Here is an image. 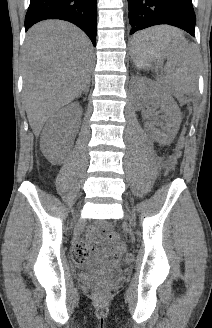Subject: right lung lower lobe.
Instances as JSON below:
<instances>
[{"label":"right lung lower lobe","mask_w":212,"mask_h":328,"mask_svg":"<svg viewBox=\"0 0 212 328\" xmlns=\"http://www.w3.org/2000/svg\"><path fill=\"white\" fill-rule=\"evenodd\" d=\"M44 19L72 22L96 45V0H30L25 30Z\"/></svg>","instance_id":"98d812e1"}]
</instances>
